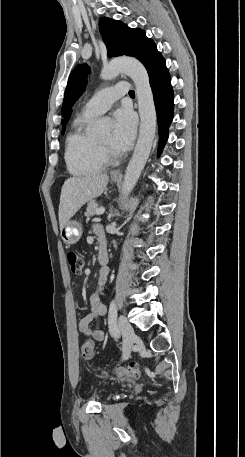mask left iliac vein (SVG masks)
<instances>
[{
	"label": "left iliac vein",
	"instance_id": "4c4485c4",
	"mask_svg": "<svg viewBox=\"0 0 245 457\" xmlns=\"http://www.w3.org/2000/svg\"><path fill=\"white\" fill-rule=\"evenodd\" d=\"M118 327L120 332L122 333L123 340H124V347H123V352L124 355L129 354L130 352V347L133 344V339H134V331L129 323V321L126 319L124 315H120L118 319Z\"/></svg>",
	"mask_w": 245,
	"mask_h": 457
}]
</instances>
